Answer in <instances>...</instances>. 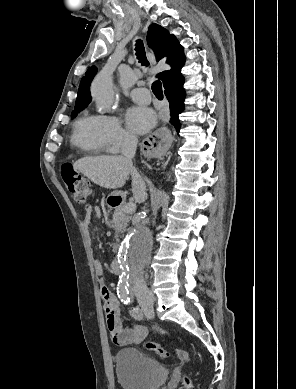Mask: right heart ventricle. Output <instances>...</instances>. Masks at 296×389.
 Masks as SVG:
<instances>
[{
    "label": "right heart ventricle",
    "instance_id": "1",
    "mask_svg": "<svg viewBox=\"0 0 296 389\" xmlns=\"http://www.w3.org/2000/svg\"><path fill=\"white\" fill-rule=\"evenodd\" d=\"M71 141L88 153L101 154L108 151L102 134L101 116H81L74 124Z\"/></svg>",
    "mask_w": 296,
    "mask_h": 389
}]
</instances>
